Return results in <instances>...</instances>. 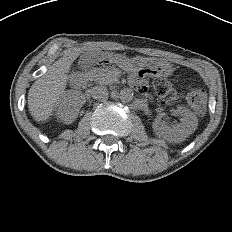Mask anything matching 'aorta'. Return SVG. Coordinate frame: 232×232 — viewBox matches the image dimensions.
<instances>
[{
    "label": "aorta",
    "instance_id": "762f6f07",
    "mask_svg": "<svg viewBox=\"0 0 232 232\" xmlns=\"http://www.w3.org/2000/svg\"><path fill=\"white\" fill-rule=\"evenodd\" d=\"M120 99L124 103H128L133 99V91L130 88H124L120 91Z\"/></svg>",
    "mask_w": 232,
    "mask_h": 232
}]
</instances>
